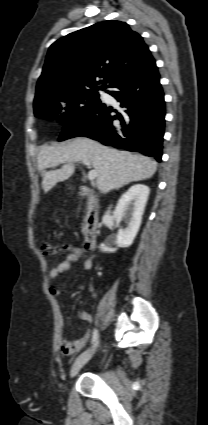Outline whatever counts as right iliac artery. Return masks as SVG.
Listing matches in <instances>:
<instances>
[{
  "label": "right iliac artery",
  "mask_w": 208,
  "mask_h": 425,
  "mask_svg": "<svg viewBox=\"0 0 208 425\" xmlns=\"http://www.w3.org/2000/svg\"><path fill=\"white\" fill-rule=\"evenodd\" d=\"M97 339H98V331L94 329L93 335H92V341H91L94 346H96Z\"/></svg>",
  "instance_id": "obj_1"
}]
</instances>
